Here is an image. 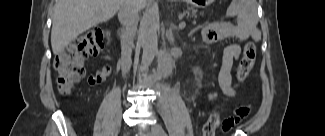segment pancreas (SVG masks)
<instances>
[{"instance_id":"1","label":"pancreas","mask_w":325,"mask_h":136,"mask_svg":"<svg viewBox=\"0 0 325 136\" xmlns=\"http://www.w3.org/2000/svg\"><path fill=\"white\" fill-rule=\"evenodd\" d=\"M185 15L190 16L185 18L184 21L186 24H196L199 21L198 19L202 18V13L198 9H194L191 5L185 10Z\"/></svg>"}]
</instances>
